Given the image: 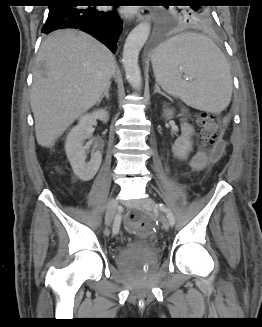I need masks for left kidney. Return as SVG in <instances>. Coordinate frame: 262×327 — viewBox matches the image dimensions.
<instances>
[{"label":"left kidney","instance_id":"1","mask_svg":"<svg viewBox=\"0 0 262 327\" xmlns=\"http://www.w3.org/2000/svg\"><path fill=\"white\" fill-rule=\"evenodd\" d=\"M173 115L172 110H167L164 113V117L170 118ZM181 136L177 138L172 148L174 156L179 159H186L188 153L192 150L191 136L193 135V127L184 122L181 124Z\"/></svg>","mask_w":262,"mask_h":327}]
</instances>
